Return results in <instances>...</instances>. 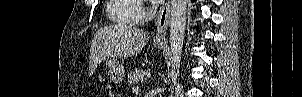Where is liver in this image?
Returning <instances> with one entry per match:
<instances>
[{
  "mask_svg": "<svg viewBox=\"0 0 302 97\" xmlns=\"http://www.w3.org/2000/svg\"><path fill=\"white\" fill-rule=\"evenodd\" d=\"M150 39L149 32L127 25H115L99 29L90 50L89 70L92 74L99 61L110 55L133 57Z\"/></svg>",
  "mask_w": 302,
  "mask_h": 97,
  "instance_id": "1",
  "label": "liver"
}]
</instances>
